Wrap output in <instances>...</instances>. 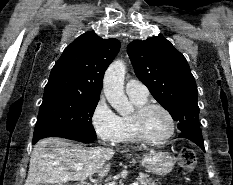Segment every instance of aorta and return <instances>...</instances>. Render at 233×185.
<instances>
[{"mask_svg": "<svg viewBox=\"0 0 233 185\" xmlns=\"http://www.w3.org/2000/svg\"><path fill=\"white\" fill-rule=\"evenodd\" d=\"M125 63L121 60L113 62L104 75L103 90L110 105L120 114L127 115L133 110L124 92Z\"/></svg>", "mask_w": 233, "mask_h": 185, "instance_id": "762f6f07", "label": "aorta"}]
</instances>
